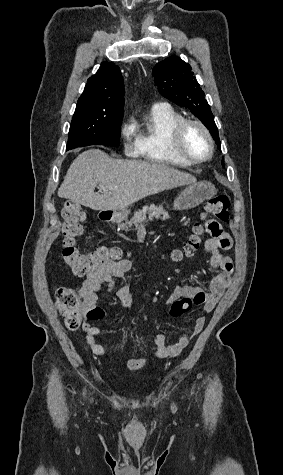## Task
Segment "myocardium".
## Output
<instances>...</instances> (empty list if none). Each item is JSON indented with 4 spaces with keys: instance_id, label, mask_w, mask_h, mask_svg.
<instances>
[{
    "instance_id": "myocardium-1",
    "label": "myocardium",
    "mask_w": 283,
    "mask_h": 475,
    "mask_svg": "<svg viewBox=\"0 0 283 475\" xmlns=\"http://www.w3.org/2000/svg\"><path fill=\"white\" fill-rule=\"evenodd\" d=\"M194 125L197 128L201 130V132L204 134L206 137L208 144H209V152L205 157L202 158H192L188 156H181L178 158H173L169 156L166 151H165V145L162 143L160 145V153L165 160V162H206L210 160L215 152V143L214 139L209 132V130L206 128V126L199 120L196 119H183L179 121L177 124H175L170 130H169V135H168V140L169 142L176 144V145H181L183 142V137L186 129Z\"/></svg>"
}]
</instances>
